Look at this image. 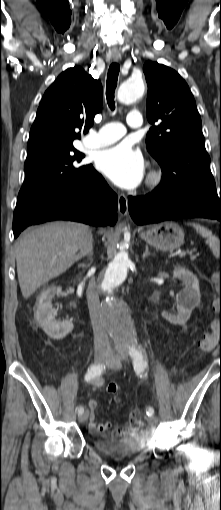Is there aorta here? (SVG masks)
I'll list each match as a JSON object with an SVG mask.
<instances>
[{
	"mask_svg": "<svg viewBox=\"0 0 221 510\" xmlns=\"http://www.w3.org/2000/svg\"><path fill=\"white\" fill-rule=\"evenodd\" d=\"M145 91L142 79H128L118 89V100L131 104L141 98ZM127 245L121 244L120 251L107 266L98 282V289L103 296L102 315L105 325L115 339L119 348H128L135 344L130 316L124 304L114 295V290L127 277L130 259Z\"/></svg>",
	"mask_w": 221,
	"mask_h": 510,
	"instance_id": "1",
	"label": "aorta"
}]
</instances>
